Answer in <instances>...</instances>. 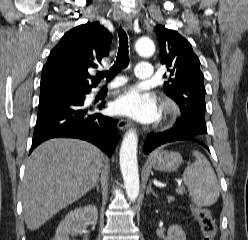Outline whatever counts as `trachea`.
<instances>
[{"label": "trachea", "mask_w": 248, "mask_h": 240, "mask_svg": "<svg viewBox=\"0 0 248 240\" xmlns=\"http://www.w3.org/2000/svg\"><path fill=\"white\" fill-rule=\"evenodd\" d=\"M128 36L126 32L120 27L119 29V47H118V54L116 57V61L114 65L110 68L107 72H98V78L106 77V81L109 82L111 79L116 76L123 68H126L129 64V57H128Z\"/></svg>", "instance_id": "trachea-1"}]
</instances>
